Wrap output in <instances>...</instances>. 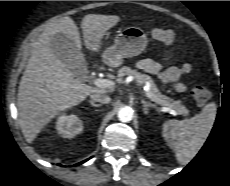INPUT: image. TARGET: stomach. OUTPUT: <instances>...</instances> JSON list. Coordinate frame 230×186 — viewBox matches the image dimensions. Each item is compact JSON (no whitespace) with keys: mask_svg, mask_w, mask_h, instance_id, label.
I'll return each instance as SVG.
<instances>
[{"mask_svg":"<svg viewBox=\"0 0 230 186\" xmlns=\"http://www.w3.org/2000/svg\"><path fill=\"white\" fill-rule=\"evenodd\" d=\"M147 42L146 34L142 29L138 27L125 28L116 36L114 44L104 50L102 60L110 67H118L123 63L124 58L142 53Z\"/></svg>","mask_w":230,"mask_h":186,"instance_id":"stomach-1","label":"stomach"}]
</instances>
